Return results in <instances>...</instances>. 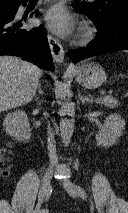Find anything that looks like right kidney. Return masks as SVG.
Here are the masks:
<instances>
[{
	"label": "right kidney",
	"mask_w": 128,
	"mask_h": 213,
	"mask_svg": "<svg viewBox=\"0 0 128 213\" xmlns=\"http://www.w3.org/2000/svg\"><path fill=\"white\" fill-rule=\"evenodd\" d=\"M3 126L5 132L18 141H28L31 138V128L27 114L17 110L6 115Z\"/></svg>",
	"instance_id": "1"
}]
</instances>
